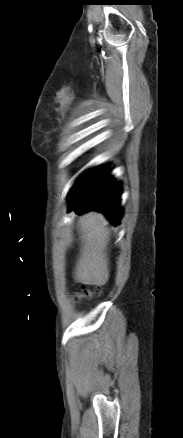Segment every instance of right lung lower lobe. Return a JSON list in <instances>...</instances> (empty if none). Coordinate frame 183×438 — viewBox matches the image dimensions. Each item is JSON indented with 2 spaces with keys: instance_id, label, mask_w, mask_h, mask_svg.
Listing matches in <instances>:
<instances>
[{
  "instance_id": "98d812e1",
  "label": "right lung lower lobe",
  "mask_w": 183,
  "mask_h": 438,
  "mask_svg": "<svg viewBox=\"0 0 183 438\" xmlns=\"http://www.w3.org/2000/svg\"><path fill=\"white\" fill-rule=\"evenodd\" d=\"M109 173V167L85 172L69 192V211L77 214L88 210L101 211L114 225L119 224L121 187Z\"/></svg>"
}]
</instances>
